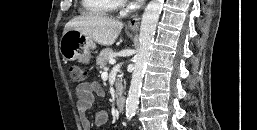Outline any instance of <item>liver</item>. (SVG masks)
<instances>
[{
    "instance_id": "liver-1",
    "label": "liver",
    "mask_w": 257,
    "mask_h": 130,
    "mask_svg": "<svg viewBox=\"0 0 257 130\" xmlns=\"http://www.w3.org/2000/svg\"><path fill=\"white\" fill-rule=\"evenodd\" d=\"M122 28L123 23L118 20L87 14L70 20L65 25L64 32L76 30L100 45L110 46L114 44Z\"/></svg>"
}]
</instances>
